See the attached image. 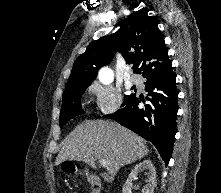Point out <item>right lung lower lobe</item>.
I'll list each match as a JSON object with an SVG mask.
<instances>
[{
    "label": "right lung lower lobe",
    "mask_w": 221,
    "mask_h": 193,
    "mask_svg": "<svg viewBox=\"0 0 221 193\" xmlns=\"http://www.w3.org/2000/svg\"><path fill=\"white\" fill-rule=\"evenodd\" d=\"M145 88L151 105L138 107L143 101L134 94L122 108L105 118L115 119L141 137L152 142L167 165L173 151L178 111V91L172 68L149 74Z\"/></svg>",
    "instance_id": "98d812e1"
}]
</instances>
